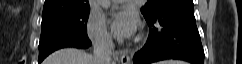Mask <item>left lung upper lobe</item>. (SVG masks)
Wrapping results in <instances>:
<instances>
[{"instance_id":"1","label":"left lung upper lobe","mask_w":242,"mask_h":64,"mask_svg":"<svg viewBox=\"0 0 242 64\" xmlns=\"http://www.w3.org/2000/svg\"><path fill=\"white\" fill-rule=\"evenodd\" d=\"M174 0H147L141 12L145 18L152 17L162 6Z\"/></svg>"}]
</instances>
